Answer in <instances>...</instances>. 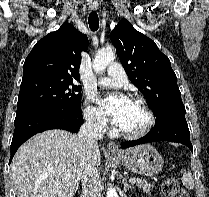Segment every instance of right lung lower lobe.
I'll list each match as a JSON object with an SVG mask.
<instances>
[{"label": "right lung lower lobe", "mask_w": 209, "mask_h": 197, "mask_svg": "<svg viewBox=\"0 0 209 197\" xmlns=\"http://www.w3.org/2000/svg\"><path fill=\"white\" fill-rule=\"evenodd\" d=\"M83 122L81 109L75 110L70 108L40 109L16 116L9 163H11L17 149L36 133L49 129H64L70 132H78Z\"/></svg>", "instance_id": "right-lung-lower-lobe-1"}]
</instances>
